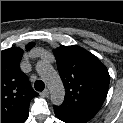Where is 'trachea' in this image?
<instances>
[{"label": "trachea", "instance_id": "1", "mask_svg": "<svg viewBox=\"0 0 123 123\" xmlns=\"http://www.w3.org/2000/svg\"><path fill=\"white\" fill-rule=\"evenodd\" d=\"M34 88L37 91H43L45 88V84L42 80H36L34 83Z\"/></svg>", "mask_w": 123, "mask_h": 123}]
</instances>
